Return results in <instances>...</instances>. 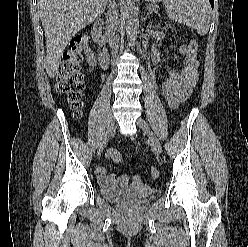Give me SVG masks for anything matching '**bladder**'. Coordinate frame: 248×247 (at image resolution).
Wrapping results in <instances>:
<instances>
[{
  "label": "bladder",
  "instance_id": "obj_1",
  "mask_svg": "<svg viewBox=\"0 0 248 247\" xmlns=\"http://www.w3.org/2000/svg\"><path fill=\"white\" fill-rule=\"evenodd\" d=\"M156 190L141 179L134 180L126 189L100 188V194L114 203L142 204L152 196Z\"/></svg>",
  "mask_w": 248,
  "mask_h": 247
}]
</instances>
